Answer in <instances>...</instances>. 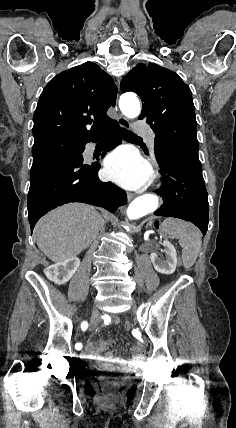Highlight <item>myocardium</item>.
Returning <instances> with one entry per match:
<instances>
[{"label":"myocardium","mask_w":236,"mask_h":428,"mask_svg":"<svg viewBox=\"0 0 236 428\" xmlns=\"http://www.w3.org/2000/svg\"><path fill=\"white\" fill-rule=\"evenodd\" d=\"M163 186V184L160 182L159 184H158V188H160V187H162Z\"/></svg>","instance_id":"1"}]
</instances>
